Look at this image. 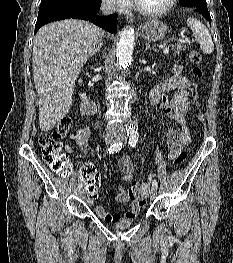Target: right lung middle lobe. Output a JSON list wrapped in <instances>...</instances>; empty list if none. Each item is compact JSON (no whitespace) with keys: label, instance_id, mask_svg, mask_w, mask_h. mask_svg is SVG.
Returning <instances> with one entry per match:
<instances>
[{"label":"right lung middle lobe","instance_id":"dd1d6c3e","mask_svg":"<svg viewBox=\"0 0 233 263\" xmlns=\"http://www.w3.org/2000/svg\"><path fill=\"white\" fill-rule=\"evenodd\" d=\"M80 0H41L37 22L74 11Z\"/></svg>","mask_w":233,"mask_h":263}]
</instances>
